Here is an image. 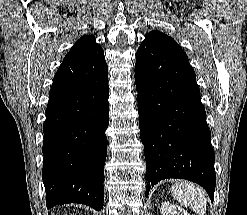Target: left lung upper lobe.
<instances>
[{
    "label": "left lung upper lobe",
    "instance_id": "obj_1",
    "mask_svg": "<svg viewBox=\"0 0 247 215\" xmlns=\"http://www.w3.org/2000/svg\"><path fill=\"white\" fill-rule=\"evenodd\" d=\"M145 39L158 40V41H161V42H164V43L175 45V46L180 48V46L171 37L159 32L157 30L148 33L145 36Z\"/></svg>",
    "mask_w": 247,
    "mask_h": 215
}]
</instances>
